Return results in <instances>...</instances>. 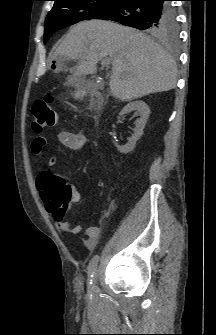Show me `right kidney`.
Wrapping results in <instances>:
<instances>
[{"label": "right kidney", "mask_w": 216, "mask_h": 335, "mask_svg": "<svg viewBox=\"0 0 216 335\" xmlns=\"http://www.w3.org/2000/svg\"><path fill=\"white\" fill-rule=\"evenodd\" d=\"M132 111H135L136 115L140 116V118L135 122V130L132 137L128 140V143L124 146H118L116 145L118 151L121 153H128L133 151L135 148L137 140L142 136L143 129L147 123L150 109L148 105L144 101H133L128 103L119 113L120 116L125 115L127 113H130Z\"/></svg>", "instance_id": "1"}]
</instances>
